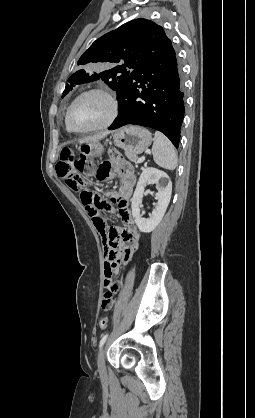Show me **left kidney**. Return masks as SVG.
Returning a JSON list of instances; mask_svg holds the SVG:
<instances>
[{
    "mask_svg": "<svg viewBox=\"0 0 255 418\" xmlns=\"http://www.w3.org/2000/svg\"><path fill=\"white\" fill-rule=\"evenodd\" d=\"M147 182L156 184V198L158 201L155 209H153L149 218L146 219L142 217L140 207ZM171 193L172 183L164 171L153 167L143 169L131 199L132 215L141 232L150 233L158 226L169 205Z\"/></svg>",
    "mask_w": 255,
    "mask_h": 418,
    "instance_id": "5707ae66",
    "label": "left kidney"
}]
</instances>
